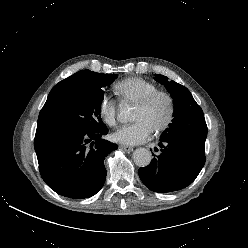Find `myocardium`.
Listing matches in <instances>:
<instances>
[{
  "label": "myocardium",
  "instance_id": "f54148a6",
  "mask_svg": "<svg viewBox=\"0 0 248 248\" xmlns=\"http://www.w3.org/2000/svg\"><path fill=\"white\" fill-rule=\"evenodd\" d=\"M159 98L165 99L167 103V113L164 120L153 129L155 133L166 130L173 121L175 103L172 95L166 91L157 90L136 103V106L140 108H149Z\"/></svg>",
  "mask_w": 248,
  "mask_h": 248
}]
</instances>
